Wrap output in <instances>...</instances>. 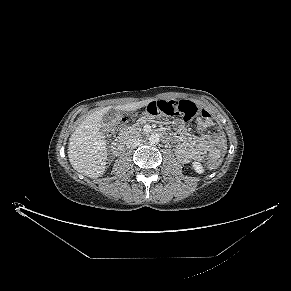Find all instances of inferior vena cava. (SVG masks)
I'll return each instance as SVG.
<instances>
[{
  "label": "inferior vena cava",
  "instance_id": "602c4592",
  "mask_svg": "<svg viewBox=\"0 0 291 291\" xmlns=\"http://www.w3.org/2000/svg\"><path fill=\"white\" fill-rule=\"evenodd\" d=\"M140 144H141V139L137 136L129 138L126 142L127 148H130V149L136 148Z\"/></svg>",
  "mask_w": 291,
  "mask_h": 291
}]
</instances>
